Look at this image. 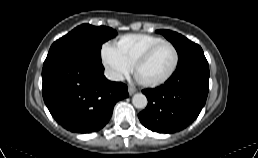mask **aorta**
<instances>
[{
	"mask_svg": "<svg viewBox=\"0 0 258 158\" xmlns=\"http://www.w3.org/2000/svg\"><path fill=\"white\" fill-rule=\"evenodd\" d=\"M133 104L138 108H143L146 106L147 99L142 93H137L133 96Z\"/></svg>",
	"mask_w": 258,
	"mask_h": 158,
	"instance_id": "obj_1",
	"label": "aorta"
}]
</instances>
